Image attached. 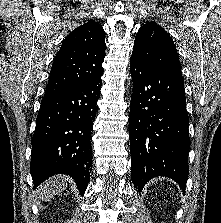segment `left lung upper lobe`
I'll list each match as a JSON object with an SVG mask.
<instances>
[{
  "label": "left lung upper lobe",
  "mask_w": 221,
  "mask_h": 223,
  "mask_svg": "<svg viewBox=\"0 0 221 223\" xmlns=\"http://www.w3.org/2000/svg\"><path fill=\"white\" fill-rule=\"evenodd\" d=\"M131 57L158 71L182 76L172 38L154 21L147 22L138 30Z\"/></svg>",
  "instance_id": "1"
}]
</instances>
